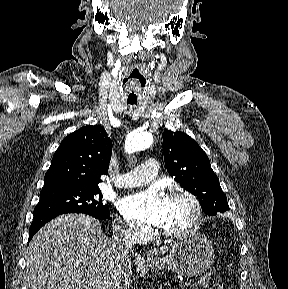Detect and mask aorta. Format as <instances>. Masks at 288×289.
Wrapping results in <instances>:
<instances>
[{
    "instance_id": "1",
    "label": "aorta",
    "mask_w": 288,
    "mask_h": 289,
    "mask_svg": "<svg viewBox=\"0 0 288 289\" xmlns=\"http://www.w3.org/2000/svg\"><path fill=\"white\" fill-rule=\"evenodd\" d=\"M152 144V135L147 132H133L125 142V151L130 154L149 147Z\"/></svg>"
}]
</instances>
